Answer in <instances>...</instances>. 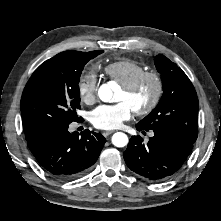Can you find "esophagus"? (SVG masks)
Returning <instances> with one entry per match:
<instances>
[{
	"mask_svg": "<svg viewBox=\"0 0 221 221\" xmlns=\"http://www.w3.org/2000/svg\"><path fill=\"white\" fill-rule=\"evenodd\" d=\"M113 133V131H104L102 134L103 136L107 137L109 135H111Z\"/></svg>",
	"mask_w": 221,
	"mask_h": 221,
	"instance_id": "esophagus-1",
	"label": "esophagus"
}]
</instances>
